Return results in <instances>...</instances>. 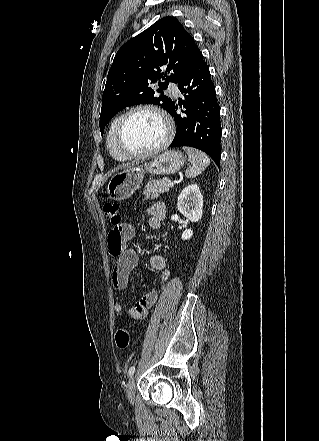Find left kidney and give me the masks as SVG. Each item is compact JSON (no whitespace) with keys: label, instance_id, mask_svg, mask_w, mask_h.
<instances>
[{"label":"left kidney","instance_id":"5707ae66","mask_svg":"<svg viewBox=\"0 0 319 441\" xmlns=\"http://www.w3.org/2000/svg\"><path fill=\"white\" fill-rule=\"evenodd\" d=\"M177 208L191 222H197L203 214V196L197 184L185 187L180 193ZM193 236L192 229H186L182 233V240H189Z\"/></svg>","mask_w":319,"mask_h":441}]
</instances>
